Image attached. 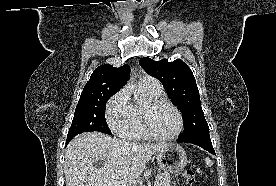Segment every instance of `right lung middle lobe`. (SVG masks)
<instances>
[{
	"mask_svg": "<svg viewBox=\"0 0 276 186\" xmlns=\"http://www.w3.org/2000/svg\"><path fill=\"white\" fill-rule=\"evenodd\" d=\"M116 92L110 90L82 92L68 135L86 131H98L111 134L105 120V106L109 98Z\"/></svg>",
	"mask_w": 276,
	"mask_h": 186,
	"instance_id": "dd1d6c3e",
	"label": "right lung middle lobe"
}]
</instances>
